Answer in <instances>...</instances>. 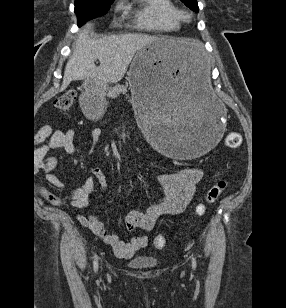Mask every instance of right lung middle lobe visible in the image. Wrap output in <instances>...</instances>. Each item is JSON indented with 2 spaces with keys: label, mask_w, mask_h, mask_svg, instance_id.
Listing matches in <instances>:
<instances>
[{
  "label": "right lung middle lobe",
  "mask_w": 286,
  "mask_h": 308,
  "mask_svg": "<svg viewBox=\"0 0 286 308\" xmlns=\"http://www.w3.org/2000/svg\"><path fill=\"white\" fill-rule=\"evenodd\" d=\"M113 2L114 0H75L74 12L79 26L87 20L106 14Z\"/></svg>",
  "instance_id": "obj_1"
}]
</instances>
